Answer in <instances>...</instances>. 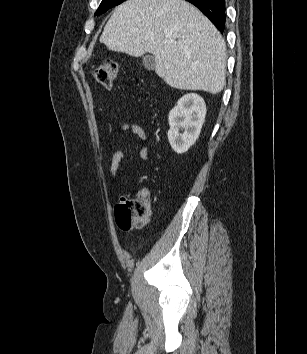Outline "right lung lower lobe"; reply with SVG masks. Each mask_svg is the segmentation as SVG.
<instances>
[{"label": "right lung lower lobe", "instance_id": "right-lung-lower-lobe-1", "mask_svg": "<svg viewBox=\"0 0 307 354\" xmlns=\"http://www.w3.org/2000/svg\"><path fill=\"white\" fill-rule=\"evenodd\" d=\"M200 9L210 21L223 33L226 23L225 0H186Z\"/></svg>", "mask_w": 307, "mask_h": 354}]
</instances>
